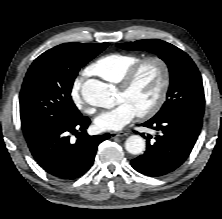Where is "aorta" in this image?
Here are the masks:
<instances>
[{"mask_svg": "<svg viewBox=\"0 0 222 219\" xmlns=\"http://www.w3.org/2000/svg\"><path fill=\"white\" fill-rule=\"evenodd\" d=\"M81 95L91 106L110 108L114 104V93L111 86L97 79H89L81 88ZM126 150L134 155L145 150V141L139 135H132L125 142Z\"/></svg>", "mask_w": 222, "mask_h": 219, "instance_id": "762f6f07", "label": "aorta"}]
</instances>
